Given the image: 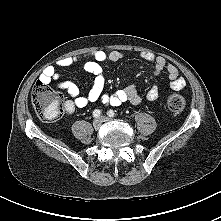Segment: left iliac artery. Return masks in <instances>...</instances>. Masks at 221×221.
Segmentation results:
<instances>
[{
    "label": "left iliac artery",
    "instance_id": "1",
    "mask_svg": "<svg viewBox=\"0 0 221 221\" xmlns=\"http://www.w3.org/2000/svg\"><path fill=\"white\" fill-rule=\"evenodd\" d=\"M107 114H108L109 117H115V113H114L113 110H109V111L107 112Z\"/></svg>",
    "mask_w": 221,
    "mask_h": 221
}]
</instances>
